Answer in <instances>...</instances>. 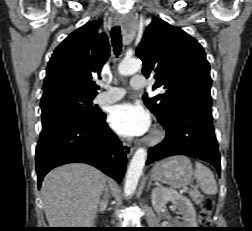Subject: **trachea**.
<instances>
[{"mask_svg":"<svg viewBox=\"0 0 252 231\" xmlns=\"http://www.w3.org/2000/svg\"><path fill=\"white\" fill-rule=\"evenodd\" d=\"M111 38L112 44L114 47V53L118 56L122 50V43H121V29L119 26H114L111 30Z\"/></svg>","mask_w":252,"mask_h":231,"instance_id":"3493384b","label":"trachea"}]
</instances>
